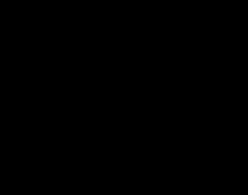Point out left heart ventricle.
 Instances as JSON below:
<instances>
[{
    "instance_id": "obj_1",
    "label": "left heart ventricle",
    "mask_w": 248,
    "mask_h": 195,
    "mask_svg": "<svg viewBox=\"0 0 248 195\" xmlns=\"http://www.w3.org/2000/svg\"><path fill=\"white\" fill-rule=\"evenodd\" d=\"M177 58H175L174 60H173V66L172 67H178V65H179V63H180V61H179V57H180V54L178 53L177 55ZM168 83V82H167ZM166 83V84H167Z\"/></svg>"
}]
</instances>
